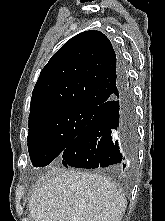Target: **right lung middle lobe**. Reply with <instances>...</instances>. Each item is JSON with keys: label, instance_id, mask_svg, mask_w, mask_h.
Returning a JSON list of instances; mask_svg holds the SVG:
<instances>
[{"label": "right lung middle lobe", "instance_id": "right-lung-middle-lobe-1", "mask_svg": "<svg viewBox=\"0 0 165 221\" xmlns=\"http://www.w3.org/2000/svg\"><path fill=\"white\" fill-rule=\"evenodd\" d=\"M95 110L87 106H63L29 116L27 141L33 166H46L61 155L91 121Z\"/></svg>", "mask_w": 165, "mask_h": 221}]
</instances>
